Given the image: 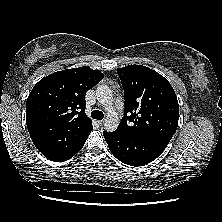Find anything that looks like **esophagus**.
<instances>
[{"label":"esophagus","mask_w":222,"mask_h":222,"mask_svg":"<svg viewBox=\"0 0 222 222\" xmlns=\"http://www.w3.org/2000/svg\"><path fill=\"white\" fill-rule=\"evenodd\" d=\"M98 123H99V125H101V126H102V125H103V123H104V120H99V121H98Z\"/></svg>","instance_id":"34e87169"}]
</instances>
